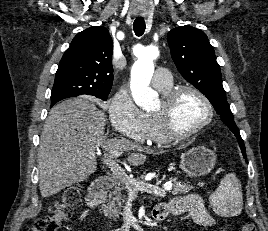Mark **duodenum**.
Segmentation results:
<instances>
[{
  "mask_svg": "<svg viewBox=\"0 0 268 231\" xmlns=\"http://www.w3.org/2000/svg\"><path fill=\"white\" fill-rule=\"evenodd\" d=\"M117 183V179L112 175H107L95 181L91 187V192L87 198L89 207H97L107 195V191Z\"/></svg>",
  "mask_w": 268,
  "mask_h": 231,
  "instance_id": "1",
  "label": "duodenum"
}]
</instances>
